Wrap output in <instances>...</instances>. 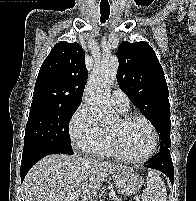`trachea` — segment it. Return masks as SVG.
<instances>
[{
	"instance_id": "obj_1",
	"label": "trachea",
	"mask_w": 196,
	"mask_h": 201,
	"mask_svg": "<svg viewBox=\"0 0 196 201\" xmlns=\"http://www.w3.org/2000/svg\"><path fill=\"white\" fill-rule=\"evenodd\" d=\"M100 14H101V17H100L101 23H105L110 15V7L100 6Z\"/></svg>"
}]
</instances>
